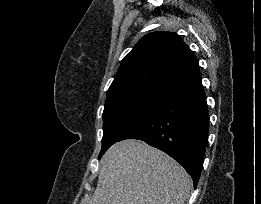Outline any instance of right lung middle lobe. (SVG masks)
Returning <instances> with one entry per match:
<instances>
[{"mask_svg": "<svg viewBox=\"0 0 261 204\" xmlns=\"http://www.w3.org/2000/svg\"><path fill=\"white\" fill-rule=\"evenodd\" d=\"M166 92L126 91L107 96L103 111V138L99 158L130 127L159 104Z\"/></svg>", "mask_w": 261, "mask_h": 204, "instance_id": "obj_1", "label": "right lung middle lobe"}]
</instances>
